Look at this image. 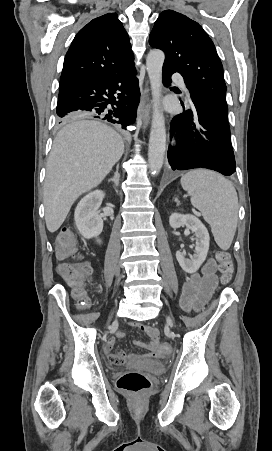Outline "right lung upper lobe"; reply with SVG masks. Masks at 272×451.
<instances>
[{
	"mask_svg": "<svg viewBox=\"0 0 272 451\" xmlns=\"http://www.w3.org/2000/svg\"><path fill=\"white\" fill-rule=\"evenodd\" d=\"M133 59L129 36L117 14H104L75 36L65 56L59 88L106 77Z\"/></svg>",
	"mask_w": 272,
	"mask_h": 451,
	"instance_id": "right-lung-upper-lobe-1",
	"label": "right lung upper lobe"
}]
</instances>
